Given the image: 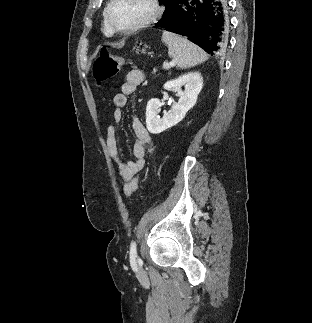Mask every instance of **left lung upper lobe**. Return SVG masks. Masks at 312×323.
Returning a JSON list of instances; mask_svg holds the SVG:
<instances>
[{"instance_id":"1","label":"left lung upper lobe","mask_w":312,"mask_h":323,"mask_svg":"<svg viewBox=\"0 0 312 323\" xmlns=\"http://www.w3.org/2000/svg\"><path fill=\"white\" fill-rule=\"evenodd\" d=\"M178 1L179 0H160V4L165 5V11L161 20L157 23V26L164 24L167 20L171 18Z\"/></svg>"}]
</instances>
